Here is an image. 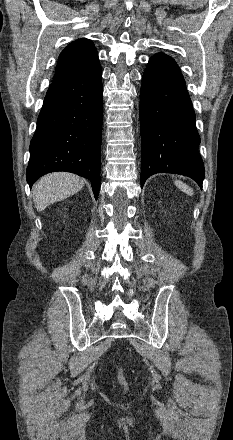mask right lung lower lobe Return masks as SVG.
I'll list each match as a JSON object with an SVG mask.
<instances>
[{
    "label": "right lung lower lobe",
    "mask_w": 233,
    "mask_h": 440,
    "mask_svg": "<svg viewBox=\"0 0 233 440\" xmlns=\"http://www.w3.org/2000/svg\"><path fill=\"white\" fill-rule=\"evenodd\" d=\"M101 78L98 66L50 85L30 143L26 172L30 186L46 173L68 171L89 179L97 199L103 116Z\"/></svg>",
    "instance_id": "obj_1"
}]
</instances>
